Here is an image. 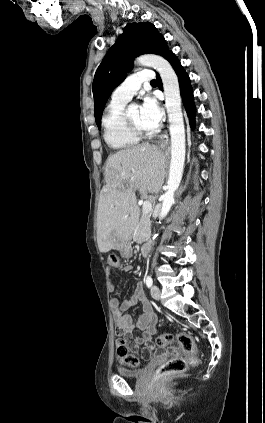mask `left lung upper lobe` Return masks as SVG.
<instances>
[{"mask_svg":"<svg viewBox=\"0 0 265 423\" xmlns=\"http://www.w3.org/2000/svg\"><path fill=\"white\" fill-rule=\"evenodd\" d=\"M168 50L165 39L151 23H129L125 26L123 34L108 50L94 76L92 91L98 127L105 103L131 71L134 58L145 53L164 57Z\"/></svg>","mask_w":265,"mask_h":423,"instance_id":"obj_1","label":"left lung upper lobe"}]
</instances>
